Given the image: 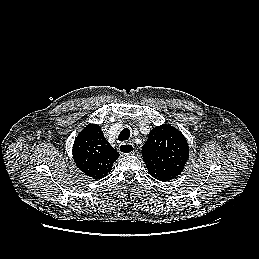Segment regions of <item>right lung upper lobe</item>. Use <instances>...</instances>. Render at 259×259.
Listing matches in <instances>:
<instances>
[{
    "label": "right lung upper lobe",
    "instance_id": "cb5924a9",
    "mask_svg": "<svg viewBox=\"0 0 259 259\" xmlns=\"http://www.w3.org/2000/svg\"><path fill=\"white\" fill-rule=\"evenodd\" d=\"M119 156L104 137L99 125L86 126L74 141V161L83 173L93 179L106 177Z\"/></svg>",
    "mask_w": 259,
    "mask_h": 259
}]
</instances>
